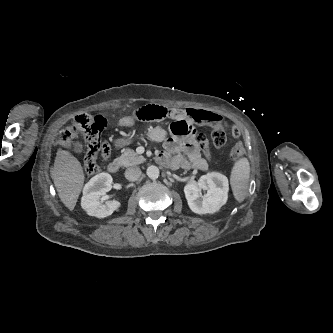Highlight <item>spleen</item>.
<instances>
[{"instance_id":"spleen-1","label":"spleen","mask_w":333,"mask_h":333,"mask_svg":"<svg viewBox=\"0 0 333 333\" xmlns=\"http://www.w3.org/2000/svg\"><path fill=\"white\" fill-rule=\"evenodd\" d=\"M250 165L247 158L239 159L231 172L230 182L235 199L242 202L247 196Z\"/></svg>"}]
</instances>
